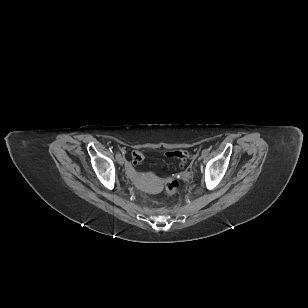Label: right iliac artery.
I'll return each instance as SVG.
<instances>
[{
  "label": "right iliac artery",
  "instance_id": "right-iliac-artery-1",
  "mask_svg": "<svg viewBox=\"0 0 308 308\" xmlns=\"http://www.w3.org/2000/svg\"><path fill=\"white\" fill-rule=\"evenodd\" d=\"M119 156H120V153H117V154H116V158H118Z\"/></svg>",
  "mask_w": 308,
  "mask_h": 308
}]
</instances>
